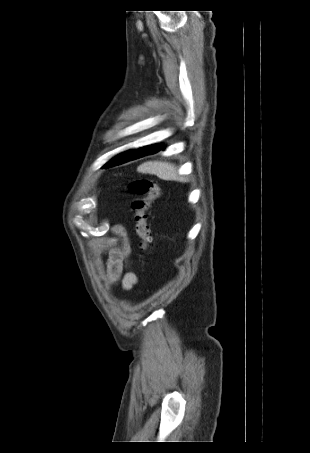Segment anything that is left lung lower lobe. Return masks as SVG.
Returning a JSON list of instances; mask_svg holds the SVG:
<instances>
[{"label":"left lung lower lobe","instance_id":"obj_1","mask_svg":"<svg viewBox=\"0 0 310 453\" xmlns=\"http://www.w3.org/2000/svg\"><path fill=\"white\" fill-rule=\"evenodd\" d=\"M164 149H165V147L163 144L143 147L139 150V152L137 154H135L133 156L132 160L143 157L145 155L157 153L158 151L164 150Z\"/></svg>","mask_w":310,"mask_h":453}]
</instances>
